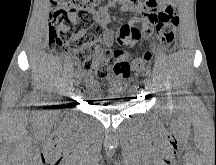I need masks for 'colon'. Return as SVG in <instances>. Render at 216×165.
I'll use <instances>...</instances> for the list:
<instances>
[{
  "instance_id": "obj_1",
  "label": "colon",
  "mask_w": 216,
  "mask_h": 165,
  "mask_svg": "<svg viewBox=\"0 0 216 165\" xmlns=\"http://www.w3.org/2000/svg\"><path fill=\"white\" fill-rule=\"evenodd\" d=\"M106 0H51L50 38L57 46L66 45L74 49L75 61L99 79L115 74L145 71L152 54L145 52L129 63L121 48L111 51L103 47V27L97 22L94 11ZM154 32L160 44L170 52L176 43V29L180 19L173 10H163L152 17ZM141 37L138 29L122 25L117 33L119 45ZM112 63V64H111Z\"/></svg>"
}]
</instances>
